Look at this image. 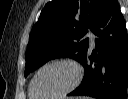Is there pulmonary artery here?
<instances>
[{"mask_svg":"<svg viewBox=\"0 0 128 99\" xmlns=\"http://www.w3.org/2000/svg\"><path fill=\"white\" fill-rule=\"evenodd\" d=\"M89 42H90V48H93L95 45V36L92 32L88 33Z\"/></svg>","mask_w":128,"mask_h":99,"instance_id":"obj_1","label":"pulmonary artery"}]
</instances>
